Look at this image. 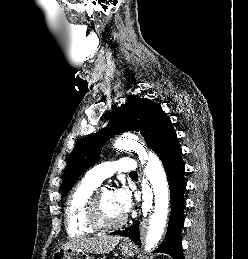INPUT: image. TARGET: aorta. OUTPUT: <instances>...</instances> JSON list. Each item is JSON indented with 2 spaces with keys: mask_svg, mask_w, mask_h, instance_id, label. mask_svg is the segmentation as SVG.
<instances>
[{
  "mask_svg": "<svg viewBox=\"0 0 248 259\" xmlns=\"http://www.w3.org/2000/svg\"><path fill=\"white\" fill-rule=\"evenodd\" d=\"M115 148L133 150L139 155L142 164L148 161L149 175L142 180V213L148 217V224L144 223L145 250L150 252L158 245L166 226L169 207V187L166 174L159 158L146 151L135 138H118Z\"/></svg>",
  "mask_w": 248,
  "mask_h": 259,
  "instance_id": "1",
  "label": "aorta"
}]
</instances>
